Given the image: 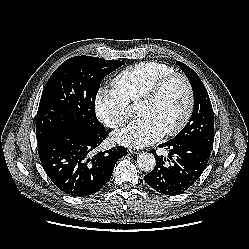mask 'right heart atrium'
Instances as JSON below:
<instances>
[{
	"mask_svg": "<svg viewBox=\"0 0 249 249\" xmlns=\"http://www.w3.org/2000/svg\"><path fill=\"white\" fill-rule=\"evenodd\" d=\"M94 111L103 124L116 129L128 119V103L114 89L100 87L94 98Z\"/></svg>",
	"mask_w": 249,
	"mask_h": 249,
	"instance_id": "d8ad5b80",
	"label": "right heart atrium"
}]
</instances>
